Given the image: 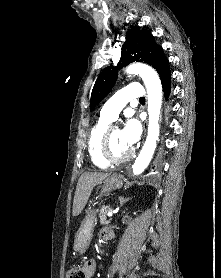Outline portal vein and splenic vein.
<instances>
[{"label":"portal vein and splenic vein","mask_w":221,"mask_h":278,"mask_svg":"<svg viewBox=\"0 0 221 278\" xmlns=\"http://www.w3.org/2000/svg\"><path fill=\"white\" fill-rule=\"evenodd\" d=\"M114 213H116L115 210H110V211L107 213V216H108V217H111Z\"/></svg>","instance_id":"18ae733b"}]
</instances>
